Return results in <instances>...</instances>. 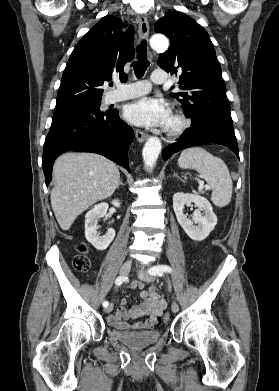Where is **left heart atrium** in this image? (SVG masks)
I'll use <instances>...</instances> for the list:
<instances>
[{
  "mask_svg": "<svg viewBox=\"0 0 279 391\" xmlns=\"http://www.w3.org/2000/svg\"><path fill=\"white\" fill-rule=\"evenodd\" d=\"M125 116L130 122L145 127L166 128L171 121L168 105L161 99L150 97L130 103L125 109Z\"/></svg>",
  "mask_w": 279,
  "mask_h": 391,
  "instance_id": "obj_1",
  "label": "left heart atrium"
}]
</instances>
